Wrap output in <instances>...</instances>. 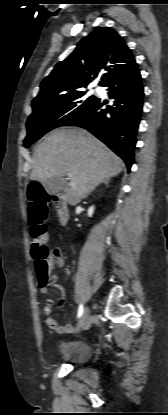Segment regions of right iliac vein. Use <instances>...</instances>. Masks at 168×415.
<instances>
[{
    "label": "right iliac vein",
    "mask_w": 168,
    "mask_h": 415,
    "mask_svg": "<svg viewBox=\"0 0 168 415\" xmlns=\"http://www.w3.org/2000/svg\"><path fill=\"white\" fill-rule=\"evenodd\" d=\"M88 320H89V308L86 307L77 324L76 330L77 331L81 330L87 324Z\"/></svg>",
    "instance_id": "1"
}]
</instances>
